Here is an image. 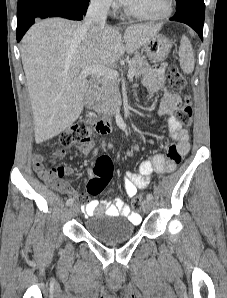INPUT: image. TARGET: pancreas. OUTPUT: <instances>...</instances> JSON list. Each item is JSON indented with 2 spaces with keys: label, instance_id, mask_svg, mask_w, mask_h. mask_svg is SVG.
Segmentation results:
<instances>
[{
  "label": "pancreas",
  "instance_id": "1",
  "mask_svg": "<svg viewBox=\"0 0 227 298\" xmlns=\"http://www.w3.org/2000/svg\"><path fill=\"white\" fill-rule=\"evenodd\" d=\"M128 67L135 70L137 78L150 69L149 63L142 56L133 57ZM100 84L101 86L96 91V106L94 110L98 114L111 115L121 99L118 83L115 80L103 78Z\"/></svg>",
  "mask_w": 227,
  "mask_h": 298
}]
</instances>
